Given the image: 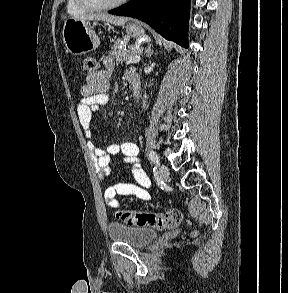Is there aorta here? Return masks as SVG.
Listing matches in <instances>:
<instances>
[{
	"label": "aorta",
	"mask_w": 288,
	"mask_h": 293,
	"mask_svg": "<svg viewBox=\"0 0 288 293\" xmlns=\"http://www.w3.org/2000/svg\"><path fill=\"white\" fill-rule=\"evenodd\" d=\"M146 99H147V96L144 95V97H143V103H142V107H143V108L146 107Z\"/></svg>",
	"instance_id": "1"
}]
</instances>
